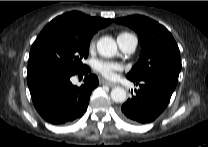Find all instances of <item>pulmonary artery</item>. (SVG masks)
<instances>
[{"label":"pulmonary artery","mask_w":208,"mask_h":147,"mask_svg":"<svg viewBox=\"0 0 208 147\" xmlns=\"http://www.w3.org/2000/svg\"><path fill=\"white\" fill-rule=\"evenodd\" d=\"M118 44L121 50L126 54H131L137 46V38L132 34H125L118 37Z\"/></svg>","instance_id":"pulmonary-artery-1"}]
</instances>
